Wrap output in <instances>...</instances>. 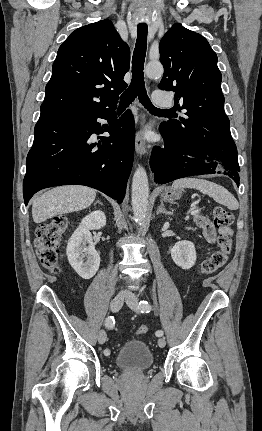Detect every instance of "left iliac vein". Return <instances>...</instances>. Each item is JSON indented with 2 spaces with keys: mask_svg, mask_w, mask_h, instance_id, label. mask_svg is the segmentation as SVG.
I'll return each instance as SVG.
<instances>
[{
  "mask_svg": "<svg viewBox=\"0 0 262 431\" xmlns=\"http://www.w3.org/2000/svg\"><path fill=\"white\" fill-rule=\"evenodd\" d=\"M125 301H126V304L133 310V311H135V312H137V313H139L140 312V309H139V306H138V299H137V297L134 295V294H132V293H128L127 294V296H126V299H125ZM158 346L160 347V348H164L165 346H166V340H165V338L164 337H160L159 339H158Z\"/></svg>",
  "mask_w": 262,
  "mask_h": 431,
  "instance_id": "obj_1",
  "label": "left iliac vein"
}]
</instances>
